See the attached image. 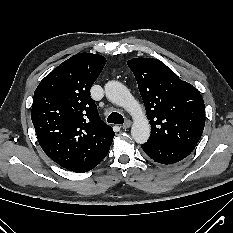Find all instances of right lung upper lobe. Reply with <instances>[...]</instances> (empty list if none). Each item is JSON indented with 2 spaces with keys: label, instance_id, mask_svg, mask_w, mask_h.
<instances>
[{
  "label": "right lung upper lobe",
  "instance_id": "right-lung-upper-lobe-1",
  "mask_svg": "<svg viewBox=\"0 0 233 233\" xmlns=\"http://www.w3.org/2000/svg\"><path fill=\"white\" fill-rule=\"evenodd\" d=\"M105 57L79 53L49 73L34 92L31 119L43 151L70 171L97 160L111 146L112 127L100 120L90 89Z\"/></svg>",
  "mask_w": 233,
  "mask_h": 233
}]
</instances>
